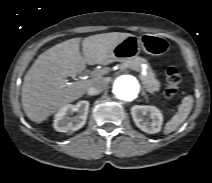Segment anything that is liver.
Masks as SVG:
<instances>
[{
	"mask_svg": "<svg viewBox=\"0 0 212 183\" xmlns=\"http://www.w3.org/2000/svg\"><path fill=\"white\" fill-rule=\"evenodd\" d=\"M129 36L130 33L111 32L86 37L82 41L83 56L79 50L80 38L66 40L40 54L23 81L21 100L27 117L41 123L82 97L104 73L73 83H68L66 78L82 73L86 64L106 62L110 50Z\"/></svg>",
	"mask_w": 212,
	"mask_h": 183,
	"instance_id": "liver-1",
	"label": "liver"
}]
</instances>
